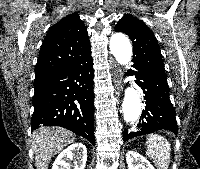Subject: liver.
Returning <instances> with one entry per match:
<instances>
[{"label":"liver","instance_id":"1","mask_svg":"<svg viewBox=\"0 0 200 169\" xmlns=\"http://www.w3.org/2000/svg\"><path fill=\"white\" fill-rule=\"evenodd\" d=\"M36 169H48L51 158L74 142V134L61 127H40L32 133Z\"/></svg>","mask_w":200,"mask_h":169}]
</instances>
